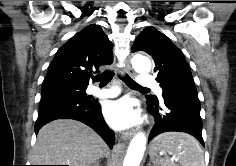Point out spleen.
Wrapping results in <instances>:
<instances>
[{
    "instance_id": "3e777b00",
    "label": "spleen",
    "mask_w": 236,
    "mask_h": 166,
    "mask_svg": "<svg viewBox=\"0 0 236 166\" xmlns=\"http://www.w3.org/2000/svg\"><path fill=\"white\" fill-rule=\"evenodd\" d=\"M152 144L159 166H205L202 149L197 140L189 134L163 133L157 136Z\"/></svg>"
}]
</instances>
